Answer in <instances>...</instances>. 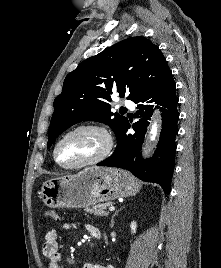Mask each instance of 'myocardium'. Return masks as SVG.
Here are the masks:
<instances>
[{
	"mask_svg": "<svg viewBox=\"0 0 221 268\" xmlns=\"http://www.w3.org/2000/svg\"><path fill=\"white\" fill-rule=\"evenodd\" d=\"M81 130H94V131L99 132L104 137V140H105L104 148L98 155H96L95 157L85 162L75 164V165L63 164L62 162H60L58 158V149L60 145L68 136ZM113 148H114L113 137L106 127L99 125V124L87 123V124L78 125L70 129L69 131H67L65 134H63L54 146L53 157H54L55 162L64 169H80V168H84L90 165L100 163L101 161L105 160L107 157L110 156V154L113 151Z\"/></svg>",
	"mask_w": 221,
	"mask_h": 268,
	"instance_id": "obj_1",
	"label": "myocardium"
}]
</instances>
